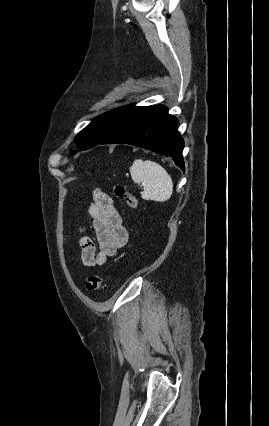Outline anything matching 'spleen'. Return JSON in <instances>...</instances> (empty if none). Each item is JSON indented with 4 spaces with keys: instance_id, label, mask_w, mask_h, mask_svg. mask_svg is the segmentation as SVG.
<instances>
[{
    "instance_id": "obj_1",
    "label": "spleen",
    "mask_w": 269,
    "mask_h": 426,
    "mask_svg": "<svg viewBox=\"0 0 269 426\" xmlns=\"http://www.w3.org/2000/svg\"><path fill=\"white\" fill-rule=\"evenodd\" d=\"M134 183L143 187L141 197L158 202L167 201L173 192V181L158 163L136 159L129 168Z\"/></svg>"
}]
</instances>
